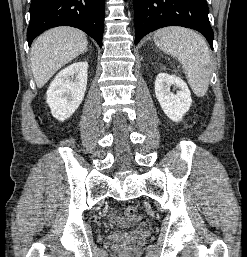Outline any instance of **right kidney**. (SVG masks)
Listing matches in <instances>:
<instances>
[{
  "label": "right kidney",
  "mask_w": 247,
  "mask_h": 257,
  "mask_svg": "<svg viewBox=\"0 0 247 257\" xmlns=\"http://www.w3.org/2000/svg\"><path fill=\"white\" fill-rule=\"evenodd\" d=\"M88 63L80 61L61 70L47 90L46 102L52 115L65 121L78 109L87 86Z\"/></svg>",
  "instance_id": "obj_1"
}]
</instances>
